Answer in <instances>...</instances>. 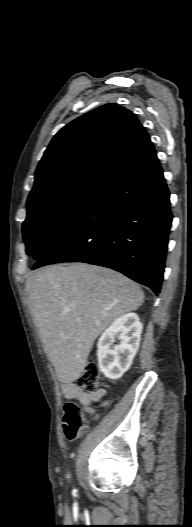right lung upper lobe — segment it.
Wrapping results in <instances>:
<instances>
[{"label":"right lung upper lobe","instance_id":"1","mask_svg":"<svg viewBox=\"0 0 192 527\" xmlns=\"http://www.w3.org/2000/svg\"><path fill=\"white\" fill-rule=\"evenodd\" d=\"M150 143L130 110L114 103L100 106L54 136L37 166L28 198L88 178L108 181Z\"/></svg>","mask_w":192,"mask_h":527}]
</instances>
